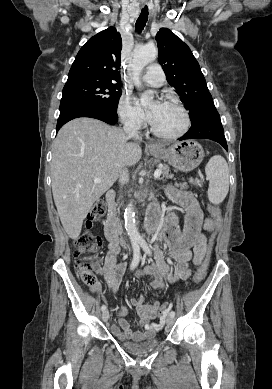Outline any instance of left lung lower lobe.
<instances>
[{
    "mask_svg": "<svg viewBox=\"0 0 272 389\" xmlns=\"http://www.w3.org/2000/svg\"><path fill=\"white\" fill-rule=\"evenodd\" d=\"M194 138H205L216 141L228 151L220 116L215 107L209 109L200 118L191 122L189 131L179 140Z\"/></svg>",
    "mask_w": 272,
    "mask_h": 389,
    "instance_id": "1",
    "label": "left lung lower lobe"
}]
</instances>
